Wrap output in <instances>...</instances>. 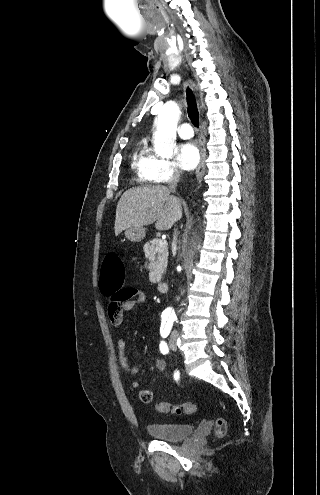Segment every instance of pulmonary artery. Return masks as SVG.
Returning a JSON list of instances; mask_svg holds the SVG:
<instances>
[{
    "label": "pulmonary artery",
    "mask_w": 320,
    "mask_h": 495,
    "mask_svg": "<svg viewBox=\"0 0 320 495\" xmlns=\"http://www.w3.org/2000/svg\"><path fill=\"white\" fill-rule=\"evenodd\" d=\"M178 135L183 139H189L193 137V129L189 123H182L178 127Z\"/></svg>",
    "instance_id": "pulmonary-artery-1"
}]
</instances>
